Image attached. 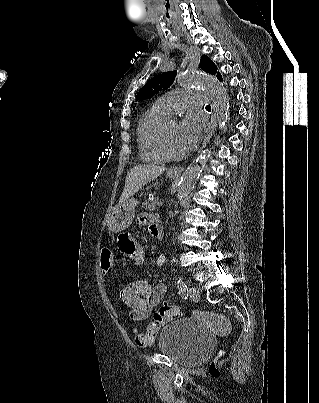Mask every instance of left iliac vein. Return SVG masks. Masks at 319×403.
<instances>
[{"instance_id":"1","label":"left iliac vein","mask_w":319,"mask_h":403,"mask_svg":"<svg viewBox=\"0 0 319 403\" xmlns=\"http://www.w3.org/2000/svg\"><path fill=\"white\" fill-rule=\"evenodd\" d=\"M189 296L195 302H198L200 299L199 291L195 287H190Z\"/></svg>"}]
</instances>
